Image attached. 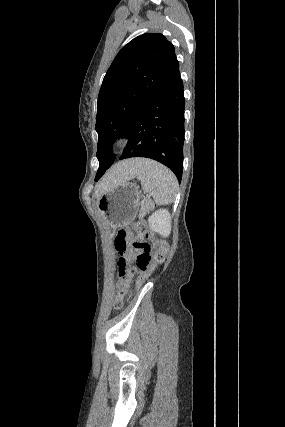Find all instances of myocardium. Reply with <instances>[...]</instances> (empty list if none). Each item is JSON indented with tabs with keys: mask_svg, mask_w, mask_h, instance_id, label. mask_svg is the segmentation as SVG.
<instances>
[{
	"mask_svg": "<svg viewBox=\"0 0 285 427\" xmlns=\"http://www.w3.org/2000/svg\"><path fill=\"white\" fill-rule=\"evenodd\" d=\"M128 144V139L125 136H119L114 140L113 146L115 148H124Z\"/></svg>",
	"mask_w": 285,
	"mask_h": 427,
	"instance_id": "obj_1",
	"label": "myocardium"
}]
</instances>
